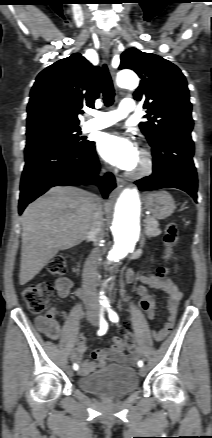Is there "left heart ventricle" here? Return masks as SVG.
<instances>
[{"mask_svg":"<svg viewBox=\"0 0 212 438\" xmlns=\"http://www.w3.org/2000/svg\"><path fill=\"white\" fill-rule=\"evenodd\" d=\"M138 165V160L135 162L134 166Z\"/></svg>","mask_w":212,"mask_h":438,"instance_id":"left-heart-ventricle-1","label":"left heart ventricle"}]
</instances>
